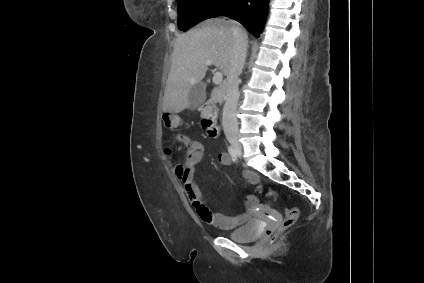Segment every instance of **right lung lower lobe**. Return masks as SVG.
I'll use <instances>...</instances> for the list:
<instances>
[{"instance_id":"right-lung-lower-lobe-1","label":"right lung lower lobe","mask_w":424,"mask_h":283,"mask_svg":"<svg viewBox=\"0 0 424 283\" xmlns=\"http://www.w3.org/2000/svg\"><path fill=\"white\" fill-rule=\"evenodd\" d=\"M269 0H235L230 9L222 15L239 21L251 34L259 37L268 10Z\"/></svg>"}]
</instances>
